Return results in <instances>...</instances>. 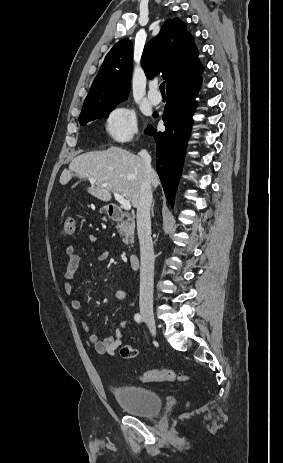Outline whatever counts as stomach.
Masks as SVG:
<instances>
[{
    "instance_id": "1",
    "label": "stomach",
    "mask_w": 283,
    "mask_h": 463,
    "mask_svg": "<svg viewBox=\"0 0 283 463\" xmlns=\"http://www.w3.org/2000/svg\"><path fill=\"white\" fill-rule=\"evenodd\" d=\"M102 211L108 212L107 207L102 208V209H101V212H102Z\"/></svg>"
}]
</instances>
